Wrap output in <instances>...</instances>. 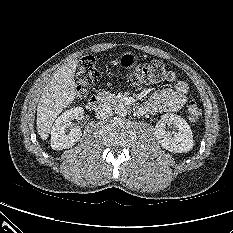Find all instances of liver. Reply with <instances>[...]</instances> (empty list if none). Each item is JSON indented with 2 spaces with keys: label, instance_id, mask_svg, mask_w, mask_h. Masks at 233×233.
I'll return each mask as SVG.
<instances>
[{
  "label": "liver",
  "instance_id": "6515ba94",
  "mask_svg": "<svg viewBox=\"0 0 233 233\" xmlns=\"http://www.w3.org/2000/svg\"><path fill=\"white\" fill-rule=\"evenodd\" d=\"M78 60L60 67L46 85L37 106V132L46 140L56 117L70 105L76 96L75 70Z\"/></svg>",
  "mask_w": 233,
  "mask_h": 233
}]
</instances>
